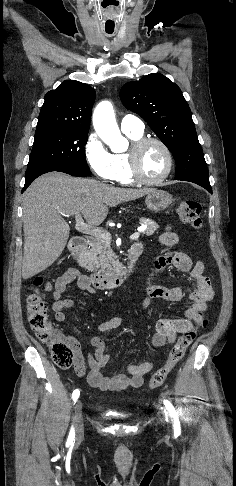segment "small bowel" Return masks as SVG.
Wrapping results in <instances>:
<instances>
[{
    "instance_id": "obj_1",
    "label": "small bowel",
    "mask_w": 236,
    "mask_h": 486,
    "mask_svg": "<svg viewBox=\"0 0 236 486\" xmlns=\"http://www.w3.org/2000/svg\"><path fill=\"white\" fill-rule=\"evenodd\" d=\"M158 241L161 245L177 246L180 242V236L169 226L159 236ZM138 245L142 251V245ZM169 266L188 273L195 282V290L189 295V300L192 302V305L185 310L183 317L176 319L163 318L156 323V333L151 339L152 346L155 348L172 344L179 334L191 330L194 321H196L200 313L205 311L207 303L215 295L209 278L204 274V264L199 260H192L184 251L176 250L174 253L163 254L154 261L153 267L147 277V296L142 301V309H146L155 301L179 302L183 300L184 289L182 287L167 288L156 282L159 275ZM73 281H77L79 288L82 290L90 289L86 277L80 275L79 271L75 268L67 269L56 279L52 309L55 320L59 323L68 322V317L64 309L72 308L75 305L73 299L63 298L68 285ZM127 320L128 318L122 316L113 317L99 324L98 330L100 332H106L118 328ZM76 331L78 330L76 329ZM66 340L74 351V369L79 376L85 374V363L87 360L89 366L87 382L93 388L102 391H124L129 388H139L144 382L145 375L153 369V363L143 362L139 365L129 366L126 373L105 376L102 370L108 365L110 356L106 352L105 344L100 337L92 336L90 338V345L93 351L89 352L86 358L76 338L66 336Z\"/></svg>"
}]
</instances>
